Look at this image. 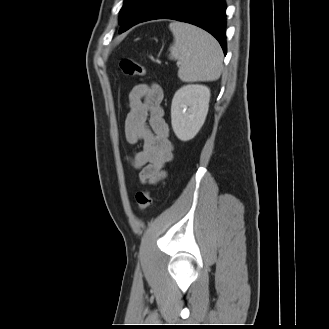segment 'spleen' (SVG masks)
I'll list each match as a JSON object with an SVG mask.
<instances>
[{"label": "spleen", "mask_w": 329, "mask_h": 329, "mask_svg": "<svg viewBox=\"0 0 329 329\" xmlns=\"http://www.w3.org/2000/svg\"><path fill=\"white\" fill-rule=\"evenodd\" d=\"M174 36L170 58L178 61V77L183 82L215 81L222 71L223 53L219 43L206 31L193 25L172 22Z\"/></svg>", "instance_id": "3e777b00"}]
</instances>
